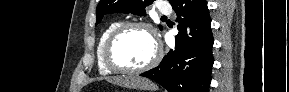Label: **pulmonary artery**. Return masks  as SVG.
Instances as JSON below:
<instances>
[{"instance_id":"pulmonary-artery-1","label":"pulmonary artery","mask_w":289,"mask_h":92,"mask_svg":"<svg viewBox=\"0 0 289 92\" xmlns=\"http://www.w3.org/2000/svg\"><path fill=\"white\" fill-rule=\"evenodd\" d=\"M159 11H160V13H162V14H170L172 10H171V8H170L169 5H167V4H161V5L159 6Z\"/></svg>"}]
</instances>
